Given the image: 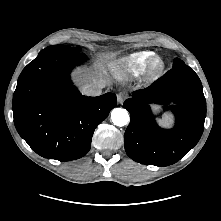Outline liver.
Masks as SVG:
<instances>
[{
    "label": "liver",
    "mask_w": 221,
    "mask_h": 221,
    "mask_svg": "<svg viewBox=\"0 0 221 221\" xmlns=\"http://www.w3.org/2000/svg\"><path fill=\"white\" fill-rule=\"evenodd\" d=\"M74 77L77 80V82L82 86V89L87 84H93L99 82H105L106 84H108V81L103 77L99 69H97L94 72V74H90L85 70L78 69L74 72Z\"/></svg>",
    "instance_id": "6515ba94"
}]
</instances>
